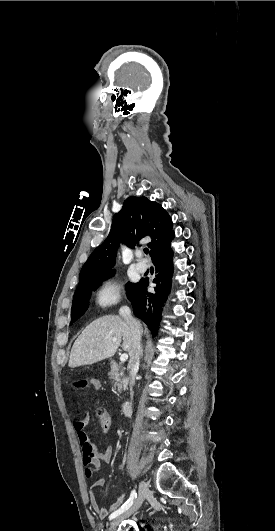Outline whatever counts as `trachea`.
I'll use <instances>...</instances> for the list:
<instances>
[{"label": "trachea", "mask_w": 275, "mask_h": 531, "mask_svg": "<svg viewBox=\"0 0 275 531\" xmlns=\"http://www.w3.org/2000/svg\"><path fill=\"white\" fill-rule=\"evenodd\" d=\"M144 252L147 254L149 252V250L147 248H145Z\"/></svg>", "instance_id": "obj_1"}]
</instances>
